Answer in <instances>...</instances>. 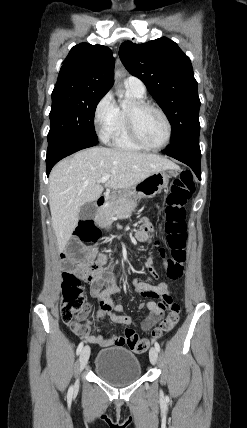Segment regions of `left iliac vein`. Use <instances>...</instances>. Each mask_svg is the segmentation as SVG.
I'll list each match as a JSON object with an SVG mask.
<instances>
[{"instance_id": "left-iliac-vein-1", "label": "left iliac vein", "mask_w": 247, "mask_h": 428, "mask_svg": "<svg viewBox=\"0 0 247 428\" xmlns=\"http://www.w3.org/2000/svg\"><path fill=\"white\" fill-rule=\"evenodd\" d=\"M149 357H150V361L153 365H155L157 363L158 360V353L155 347H151L150 351H149Z\"/></svg>"}]
</instances>
